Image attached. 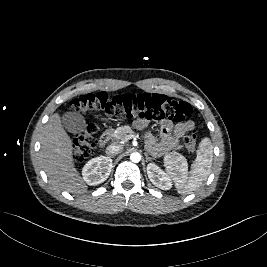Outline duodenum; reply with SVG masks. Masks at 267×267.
Here are the masks:
<instances>
[{
    "instance_id": "duodenum-1",
    "label": "duodenum",
    "mask_w": 267,
    "mask_h": 267,
    "mask_svg": "<svg viewBox=\"0 0 267 267\" xmlns=\"http://www.w3.org/2000/svg\"><path fill=\"white\" fill-rule=\"evenodd\" d=\"M110 140V133L105 131L99 138L98 144L100 147H104Z\"/></svg>"
}]
</instances>
